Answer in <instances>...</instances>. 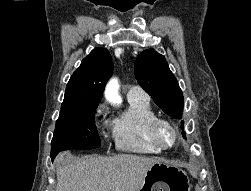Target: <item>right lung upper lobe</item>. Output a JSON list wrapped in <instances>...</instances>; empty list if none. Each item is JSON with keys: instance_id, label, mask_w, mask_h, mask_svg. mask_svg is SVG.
<instances>
[{"instance_id": "right-lung-upper-lobe-1", "label": "right lung upper lobe", "mask_w": 251, "mask_h": 191, "mask_svg": "<svg viewBox=\"0 0 251 191\" xmlns=\"http://www.w3.org/2000/svg\"><path fill=\"white\" fill-rule=\"evenodd\" d=\"M112 71L113 63L108 50L94 49L71 76L61 109L97 105Z\"/></svg>"}]
</instances>
